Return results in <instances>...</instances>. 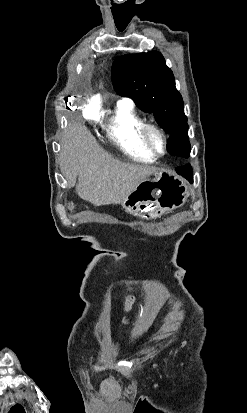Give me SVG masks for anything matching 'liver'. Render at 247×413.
<instances>
[{
  "mask_svg": "<svg viewBox=\"0 0 247 413\" xmlns=\"http://www.w3.org/2000/svg\"><path fill=\"white\" fill-rule=\"evenodd\" d=\"M60 168L69 188L76 184L78 176V196L89 200L95 207L99 204H119L141 180L159 170L150 164L123 162L114 158L98 144L84 120H72L64 128Z\"/></svg>",
  "mask_w": 247,
  "mask_h": 413,
  "instance_id": "1",
  "label": "liver"
}]
</instances>
